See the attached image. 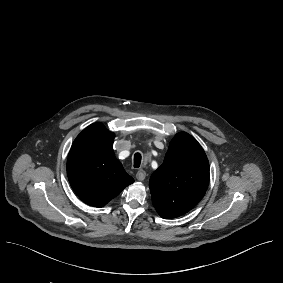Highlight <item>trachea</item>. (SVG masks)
I'll return each instance as SVG.
<instances>
[{
  "label": "trachea",
  "mask_w": 283,
  "mask_h": 283,
  "mask_svg": "<svg viewBox=\"0 0 283 283\" xmlns=\"http://www.w3.org/2000/svg\"><path fill=\"white\" fill-rule=\"evenodd\" d=\"M142 156L140 153H135L134 155V167L139 168L141 165Z\"/></svg>",
  "instance_id": "3493384b"
}]
</instances>
